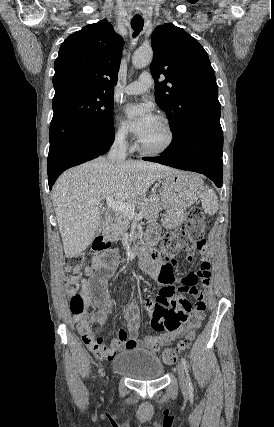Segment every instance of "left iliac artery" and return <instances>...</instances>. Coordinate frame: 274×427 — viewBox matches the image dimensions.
Listing matches in <instances>:
<instances>
[{
	"label": "left iliac artery",
	"mask_w": 274,
	"mask_h": 427,
	"mask_svg": "<svg viewBox=\"0 0 274 427\" xmlns=\"http://www.w3.org/2000/svg\"><path fill=\"white\" fill-rule=\"evenodd\" d=\"M181 362H182V365H183V367L185 369V372L187 374L188 391H189L190 394H193L194 387H193L192 381H191V379L189 377V374H188V364H187V361H186V359L184 357H182Z\"/></svg>",
	"instance_id": "44dca946"
}]
</instances>
